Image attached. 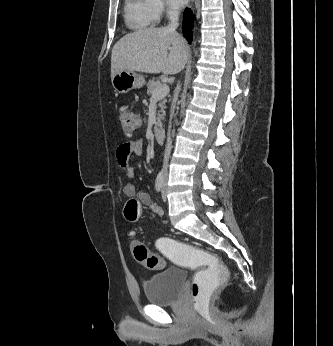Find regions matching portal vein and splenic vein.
Listing matches in <instances>:
<instances>
[{
	"mask_svg": "<svg viewBox=\"0 0 333 346\" xmlns=\"http://www.w3.org/2000/svg\"><path fill=\"white\" fill-rule=\"evenodd\" d=\"M169 91V86L167 84H164L162 87H160L153 93L152 99L159 100L161 98H164L169 93Z\"/></svg>",
	"mask_w": 333,
	"mask_h": 346,
	"instance_id": "obj_1",
	"label": "portal vein and splenic vein"
}]
</instances>
